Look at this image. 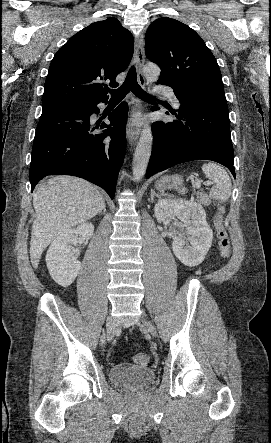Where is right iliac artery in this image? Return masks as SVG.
Listing matches in <instances>:
<instances>
[{
	"label": "right iliac artery",
	"mask_w": 271,
	"mask_h": 443,
	"mask_svg": "<svg viewBox=\"0 0 271 443\" xmlns=\"http://www.w3.org/2000/svg\"><path fill=\"white\" fill-rule=\"evenodd\" d=\"M104 340H105V336L103 335V336H101V339H100L101 344L104 343Z\"/></svg>",
	"instance_id": "obj_1"
}]
</instances>
